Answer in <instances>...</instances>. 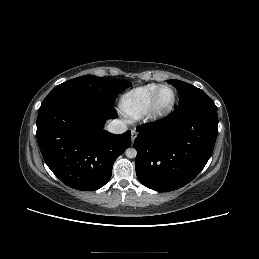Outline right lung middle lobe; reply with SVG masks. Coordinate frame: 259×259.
Listing matches in <instances>:
<instances>
[{
	"mask_svg": "<svg viewBox=\"0 0 259 259\" xmlns=\"http://www.w3.org/2000/svg\"><path fill=\"white\" fill-rule=\"evenodd\" d=\"M131 83L110 77L84 75L68 80L55 87L43 100L42 105L64 96H81L113 107L119 93Z\"/></svg>",
	"mask_w": 259,
	"mask_h": 259,
	"instance_id": "obj_1",
	"label": "right lung middle lobe"
}]
</instances>
